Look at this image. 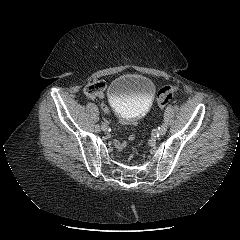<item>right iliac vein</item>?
Listing matches in <instances>:
<instances>
[{
    "label": "right iliac vein",
    "instance_id": "obj_1",
    "mask_svg": "<svg viewBox=\"0 0 240 240\" xmlns=\"http://www.w3.org/2000/svg\"><path fill=\"white\" fill-rule=\"evenodd\" d=\"M101 129H102V131H107V129H108L107 124L103 123V124L101 125Z\"/></svg>",
    "mask_w": 240,
    "mask_h": 240
}]
</instances>
